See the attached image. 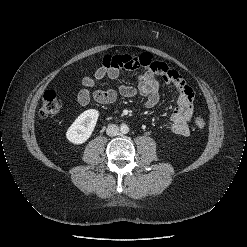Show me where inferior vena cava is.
Instances as JSON below:
<instances>
[{
	"label": "inferior vena cava",
	"instance_id": "602c4592",
	"mask_svg": "<svg viewBox=\"0 0 247 247\" xmlns=\"http://www.w3.org/2000/svg\"><path fill=\"white\" fill-rule=\"evenodd\" d=\"M106 133L108 136H116L119 133V127L115 124H110L106 129Z\"/></svg>",
	"mask_w": 247,
	"mask_h": 247
}]
</instances>
